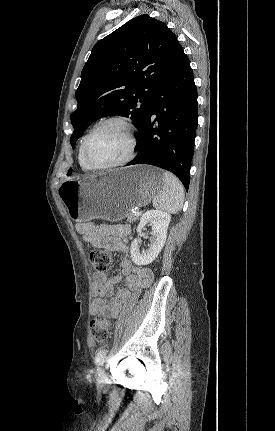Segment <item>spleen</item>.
Masks as SVG:
<instances>
[{
    "mask_svg": "<svg viewBox=\"0 0 275 431\" xmlns=\"http://www.w3.org/2000/svg\"><path fill=\"white\" fill-rule=\"evenodd\" d=\"M184 202V189L181 182L170 172L163 173V188L153 199V206L172 214L178 213Z\"/></svg>",
    "mask_w": 275,
    "mask_h": 431,
    "instance_id": "1",
    "label": "spleen"
}]
</instances>
